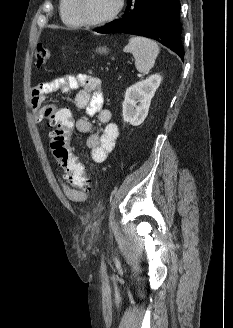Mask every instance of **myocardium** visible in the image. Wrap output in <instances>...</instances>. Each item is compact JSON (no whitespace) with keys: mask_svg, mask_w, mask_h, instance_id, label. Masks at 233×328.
I'll return each mask as SVG.
<instances>
[{"mask_svg":"<svg viewBox=\"0 0 233 328\" xmlns=\"http://www.w3.org/2000/svg\"><path fill=\"white\" fill-rule=\"evenodd\" d=\"M124 6H125V0H117L114 11L106 18L98 20V21H89L83 17L82 12H81V0H75L74 11H75V15H76L79 23L82 26L98 27V26H102L107 23H110V22L114 21L116 18H118V16L121 14V12L124 9Z\"/></svg>","mask_w":233,"mask_h":328,"instance_id":"myocardium-1","label":"myocardium"}]
</instances>
